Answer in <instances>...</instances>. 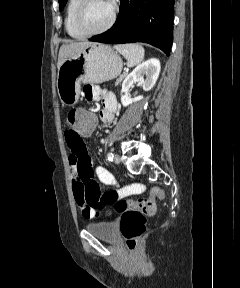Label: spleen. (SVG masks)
<instances>
[{
	"instance_id": "obj_1",
	"label": "spleen",
	"mask_w": 240,
	"mask_h": 288,
	"mask_svg": "<svg viewBox=\"0 0 240 288\" xmlns=\"http://www.w3.org/2000/svg\"><path fill=\"white\" fill-rule=\"evenodd\" d=\"M116 50L127 60V65L133 67L144 59V48L136 43L116 45Z\"/></svg>"
}]
</instances>
